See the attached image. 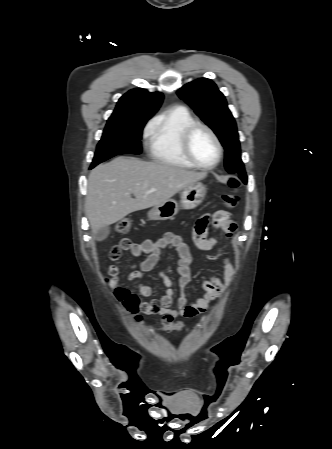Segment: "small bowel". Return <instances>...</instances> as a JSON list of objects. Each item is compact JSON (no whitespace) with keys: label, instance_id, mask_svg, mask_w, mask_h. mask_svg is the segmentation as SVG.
<instances>
[{"label":"small bowel","instance_id":"obj_1","mask_svg":"<svg viewBox=\"0 0 332 449\" xmlns=\"http://www.w3.org/2000/svg\"><path fill=\"white\" fill-rule=\"evenodd\" d=\"M210 228L221 231L227 238H232L237 229L236 223L231 219L227 211L219 210L213 213L201 215L193 226V243L195 247L202 251H210L216 246V239L209 235ZM128 241V249L134 258L145 256L139 267L133 261L129 272L124 277L126 281L135 282L140 297H149L152 295V287L142 282L143 273L151 271L158 263L163 249H170L176 252L178 256L177 271L180 275L179 286L180 293L177 299L176 307H172L174 297L173 282L164 271H158V276L162 279L166 287L165 293L150 302H142L140 310L145 314L170 315L172 317L184 316L193 318L204 313L209 308L211 302L217 299L231 284L236 272L235 263L228 257L222 256L223 279L218 276H210L202 285V292L199 297L189 301L185 287L191 278L190 264L192 256L188 245L183 239L174 233L167 232L156 240H144L141 243ZM108 277L105 282L110 286H121L124 284L120 269L117 265H111L108 268Z\"/></svg>","mask_w":332,"mask_h":449}]
</instances>
